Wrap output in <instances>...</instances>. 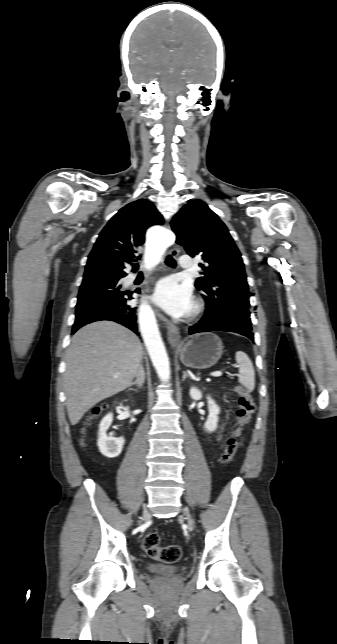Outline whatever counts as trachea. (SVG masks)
Masks as SVG:
<instances>
[{"instance_id": "1", "label": "trachea", "mask_w": 337, "mask_h": 644, "mask_svg": "<svg viewBox=\"0 0 337 644\" xmlns=\"http://www.w3.org/2000/svg\"><path fill=\"white\" fill-rule=\"evenodd\" d=\"M165 263H166L167 265L171 266V267H175V266H176V262H175V260H174L171 256H168V257H167V259H166Z\"/></svg>"}]
</instances>
